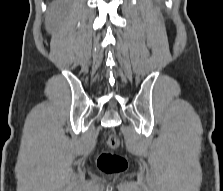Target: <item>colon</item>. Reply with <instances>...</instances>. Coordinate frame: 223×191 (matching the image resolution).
<instances>
[{
    "label": "colon",
    "mask_w": 223,
    "mask_h": 191,
    "mask_svg": "<svg viewBox=\"0 0 223 191\" xmlns=\"http://www.w3.org/2000/svg\"><path fill=\"white\" fill-rule=\"evenodd\" d=\"M119 138L116 135H111L106 147L103 149L97 159L98 169L104 174H121L127 170V160L120 154L114 152L119 146Z\"/></svg>",
    "instance_id": "colon-1"
}]
</instances>
